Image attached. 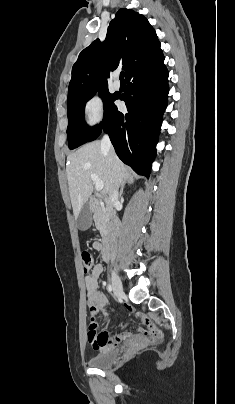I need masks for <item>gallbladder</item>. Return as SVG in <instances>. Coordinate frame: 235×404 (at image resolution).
I'll list each match as a JSON object with an SVG mask.
<instances>
[{"label":"gallbladder","mask_w":235,"mask_h":404,"mask_svg":"<svg viewBox=\"0 0 235 404\" xmlns=\"http://www.w3.org/2000/svg\"><path fill=\"white\" fill-rule=\"evenodd\" d=\"M92 224V213L90 211V203L86 202L76 219V225L79 230L85 231Z\"/></svg>","instance_id":"1"}]
</instances>
